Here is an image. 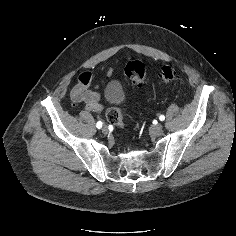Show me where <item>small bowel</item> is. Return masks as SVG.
Masks as SVG:
<instances>
[{
	"label": "small bowel",
	"mask_w": 236,
	"mask_h": 236,
	"mask_svg": "<svg viewBox=\"0 0 236 236\" xmlns=\"http://www.w3.org/2000/svg\"><path fill=\"white\" fill-rule=\"evenodd\" d=\"M113 74V68H108L105 78L111 77ZM94 76L91 72H83L78 77V83L72 90V98L74 102H85L86 108L92 112H98L103 109V105L100 102L101 95L98 90H89V85L92 82Z\"/></svg>",
	"instance_id": "small-bowel-1"
}]
</instances>
